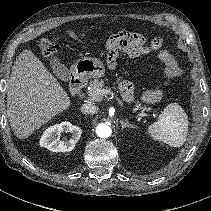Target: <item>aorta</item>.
I'll return each instance as SVG.
<instances>
[{"label": "aorta", "mask_w": 211, "mask_h": 211, "mask_svg": "<svg viewBox=\"0 0 211 211\" xmlns=\"http://www.w3.org/2000/svg\"><path fill=\"white\" fill-rule=\"evenodd\" d=\"M96 133L100 138H108L112 133V129L109 125L100 123L96 128Z\"/></svg>", "instance_id": "aorta-1"}]
</instances>
